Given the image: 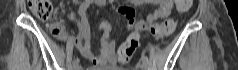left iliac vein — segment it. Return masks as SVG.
<instances>
[{
  "label": "left iliac vein",
  "mask_w": 238,
  "mask_h": 70,
  "mask_svg": "<svg viewBox=\"0 0 238 70\" xmlns=\"http://www.w3.org/2000/svg\"><path fill=\"white\" fill-rule=\"evenodd\" d=\"M140 69H141V70H146V69H147L146 63L142 62V63L140 64Z\"/></svg>",
  "instance_id": "obj_1"
}]
</instances>
